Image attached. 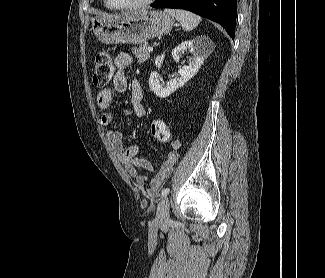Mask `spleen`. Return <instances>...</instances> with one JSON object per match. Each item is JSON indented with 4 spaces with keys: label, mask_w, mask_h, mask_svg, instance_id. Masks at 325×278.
I'll list each match as a JSON object with an SVG mask.
<instances>
[{
    "label": "spleen",
    "mask_w": 325,
    "mask_h": 278,
    "mask_svg": "<svg viewBox=\"0 0 325 278\" xmlns=\"http://www.w3.org/2000/svg\"><path fill=\"white\" fill-rule=\"evenodd\" d=\"M164 12L175 17L185 31L193 30L201 22L200 16L186 10L165 9Z\"/></svg>",
    "instance_id": "spleen-1"
}]
</instances>
